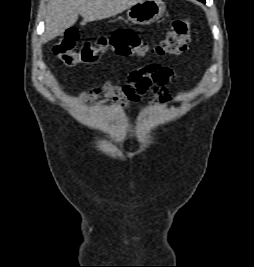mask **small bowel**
I'll use <instances>...</instances> for the list:
<instances>
[{"instance_id":"small-bowel-1","label":"small bowel","mask_w":254,"mask_h":267,"mask_svg":"<svg viewBox=\"0 0 254 267\" xmlns=\"http://www.w3.org/2000/svg\"><path fill=\"white\" fill-rule=\"evenodd\" d=\"M175 80L172 68L160 64H148L133 69L127 74L123 86L105 83L101 88H94L80 93L84 101L95 102L98 99L110 101L118 110H125L130 102L141 101L151 93L149 104L153 108L158 104H168L172 97L165 86Z\"/></svg>"}]
</instances>
